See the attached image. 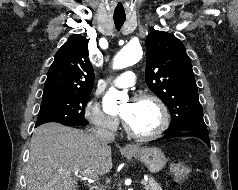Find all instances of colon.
Wrapping results in <instances>:
<instances>
[{
  "label": "colon",
  "mask_w": 238,
  "mask_h": 190,
  "mask_svg": "<svg viewBox=\"0 0 238 190\" xmlns=\"http://www.w3.org/2000/svg\"><path fill=\"white\" fill-rule=\"evenodd\" d=\"M170 172L173 176V179L176 182L181 183L189 177L191 173V167L185 162L175 161L170 166Z\"/></svg>",
  "instance_id": "5ec220e1"
}]
</instances>
